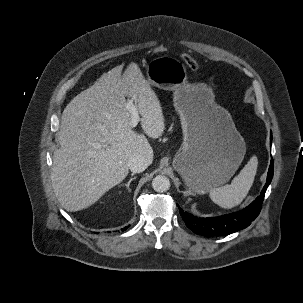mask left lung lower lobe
I'll return each instance as SVG.
<instances>
[{"label": "left lung lower lobe", "mask_w": 303, "mask_h": 303, "mask_svg": "<svg viewBox=\"0 0 303 303\" xmlns=\"http://www.w3.org/2000/svg\"><path fill=\"white\" fill-rule=\"evenodd\" d=\"M270 140H272V136H270ZM273 172L274 165L273 160H271L267 181L260 196H258L249 206L239 212L219 217L198 218L180 209V215L188 228H190L194 233L202 236H224L244 229L248 227L259 215L265 192L273 177Z\"/></svg>", "instance_id": "0a47b994"}]
</instances>
